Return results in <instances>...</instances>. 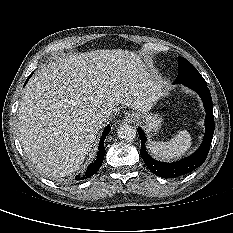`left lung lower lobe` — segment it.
Wrapping results in <instances>:
<instances>
[{"label": "left lung lower lobe", "mask_w": 233, "mask_h": 233, "mask_svg": "<svg viewBox=\"0 0 233 233\" xmlns=\"http://www.w3.org/2000/svg\"><path fill=\"white\" fill-rule=\"evenodd\" d=\"M185 86L196 91L202 99L206 117L205 127L206 132L203 138V142L198 150L191 156L174 162L163 163L152 159L145 148L146 136L141 128H138L139 138L141 139L140 154L148 169L159 177L175 178L181 175H185L194 169L198 168L205 161L214 134V116H213V104L212 98L206 82L203 83H184Z\"/></svg>", "instance_id": "obj_1"}]
</instances>
